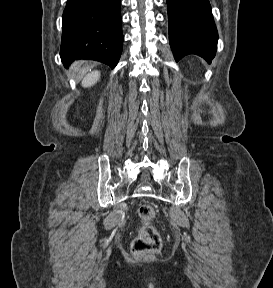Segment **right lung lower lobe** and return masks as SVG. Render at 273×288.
Listing matches in <instances>:
<instances>
[{"label": "right lung lower lobe", "mask_w": 273, "mask_h": 288, "mask_svg": "<svg viewBox=\"0 0 273 288\" xmlns=\"http://www.w3.org/2000/svg\"><path fill=\"white\" fill-rule=\"evenodd\" d=\"M121 0H67L63 12L60 56L68 67L91 59L114 68L123 47Z\"/></svg>", "instance_id": "obj_1"}]
</instances>
